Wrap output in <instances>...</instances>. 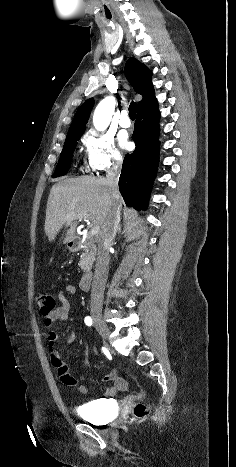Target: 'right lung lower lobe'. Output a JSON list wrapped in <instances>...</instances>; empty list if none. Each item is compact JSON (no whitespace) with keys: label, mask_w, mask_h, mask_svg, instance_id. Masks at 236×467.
Listing matches in <instances>:
<instances>
[{"label":"right lung lower lobe","mask_w":236,"mask_h":467,"mask_svg":"<svg viewBox=\"0 0 236 467\" xmlns=\"http://www.w3.org/2000/svg\"><path fill=\"white\" fill-rule=\"evenodd\" d=\"M159 119L157 100L138 110L132 135L136 149L125 156L119 178V190L126 205L139 211L147 208L158 166Z\"/></svg>","instance_id":"1"}]
</instances>
